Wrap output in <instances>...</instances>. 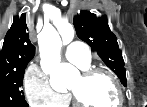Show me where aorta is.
<instances>
[{
    "instance_id": "762f6f07",
    "label": "aorta",
    "mask_w": 147,
    "mask_h": 107,
    "mask_svg": "<svg viewBox=\"0 0 147 107\" xmlns=\"http://www.w3.org/2000/svg\"><path fill=\"white\" fill-rule=\"evenodd\" d=\"M73 30L68 32V39L73 38ZM62 41L55 30L49 24L45 25L39 35V51L42 70L50 75V85L54 90H62L69 86L72 78L79 75L78 70L69 63H61Z\"/></svg>"
}]
</instances>
